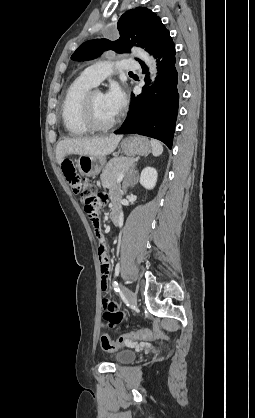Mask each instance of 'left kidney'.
Segmentation results:
<instances>
[{
  "label": "left kidney",
  "mask_w": 255,
  "mask_h": 418,
  "mask_svg": "<svg viewBox=\"0 0 255 418\" xmlns=\"http://www.w3.org/2000/svg\"><path fill=\"white\" fill-rule=\"evenodd\" d=\"M157 171L153 167H146L140 175V184L150 190L153 189L157 182Z\"/></svg>",
  "instance_id": "obj_1"
}]
</instances>
